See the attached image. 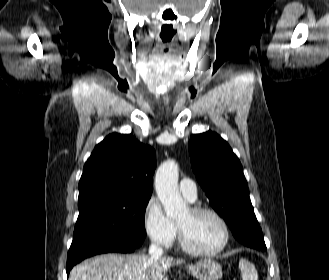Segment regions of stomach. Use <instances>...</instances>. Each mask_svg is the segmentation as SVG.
Masks as SVG:
<instances>
[{
    "instance_id": "0dacf381",
    "label": "stomach",
    "mask_w": 329,
    "mask_h": 280,
    "mask_svg": "<svg viewBox=\"0 0 329 280\" xmlns=\"http://www.w3.org/2000/svg\"><path fill=\"white\" fill-rule=\"evenodd\" d=\"M188 272L199 280H219L222 277V267L211 259H204L190 265Z\"/></svg>"
}]
</instances>
